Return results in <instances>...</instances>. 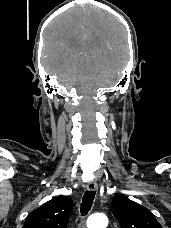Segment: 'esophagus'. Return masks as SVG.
I'll list each match as a JSON object with an SVG mask.
<instances>
[{"label": "esophagus", "instance_id": "1", "mask_svg": "<svg viewBox=\"0 0 171 228\" xmlns=\"http://www.w3.org/2000/svg\"><path fill=\"white\" fill-rule=\"evenodd\" d=\"M86 188L90 192H97L98 185H97L96 181L92 180V181H90V182L87 183Z\"/></svg>", "mask_w": 171, "mask_h": 228}]
</instances>
